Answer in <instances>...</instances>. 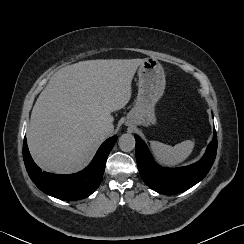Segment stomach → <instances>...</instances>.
Wrapping results in <instances>:
<instances>
[{
    "instance_id": "stomach-1",
    "label": "stomach",
    "mask_w": 244,
    "mask_h": 244,
    "mask_svg": "<svg viewBox=\"0 0 244 244\" xmlns=\"http://www.w3.org/2000/svg\"><path fill=\"white\" fill-rule=\"evenodd\" d=\"M165 73L154 58H146L138 69V95L128 114V125L150 126L156 123L155 106L164 94Z\"/></svg>"
}]
</instances>
